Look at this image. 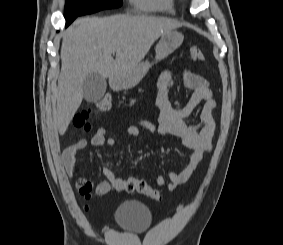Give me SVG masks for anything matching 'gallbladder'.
<instances>
[{"label": "gallbladder", "mask_w": 283, "mask_h": 245, "mask_svg": "<svg viewBox=\"0 0 283 245\" xmlns=\"http://www.w3.org/2000/svg\"><path fill=\"white\" fill-rule=\"evenodd\" d=\"M106 88L105 78L99 73H91L83 81V96L87 102H98L103 98Z\"/></svg>", "instance_id": "1"}]
</instances>
